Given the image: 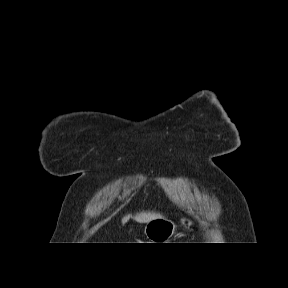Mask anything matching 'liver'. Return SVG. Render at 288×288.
Wrapping results in <instances>:
<instances>
[{"label": "liver", "instance_id": "6515ba94", "mask_svg": "<svg viewBox=\"0 0 288 288\" xmlns=\"http://www.w3.org/2000/svg\"><path fill=\"white\" fill-rule=\"evenodd\" d=\"M162 217L160 214L158 213H153V212H141L138 213L134 216V219L138 222V223H148L149 221L156 219V218H160ZM130 219V215L123 217L122 219V224H125L128 222V220Z\"/></svg>", "mask_w": 288, "mask_h": 288}]
</instances>
